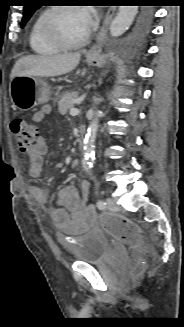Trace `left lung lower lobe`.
<instances>
[{
  "label": "left lung lower lobe",
  "mask_w": 184,
  "mask_h": 327,
  "mask_svg": "<svg viewBox=\"0 0 184 327\" xmlns=\"http://www.w3.org/2000/svg\"><path fill=\"white\" fill-rule=\"evenodd\" d=\"M152 17L153 12L150 9H146L142 14L141 22L137 31L118 42L116 46L125 51L134 49L139 44V40L143 34L149 32V25Z\"/></svg>",
  "instance_id": "left-lung-lower-lobe-1"
}]
</instances>
